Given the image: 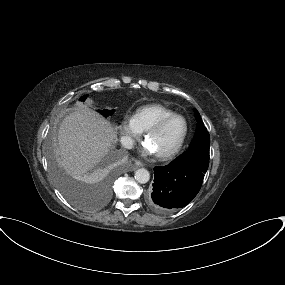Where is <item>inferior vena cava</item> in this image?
Masks as SVG:
<instances>
[{"label": "inferior vena cava", "mask_w": 285, "mask_h": 285, "mask_svg": "<svg viewBox=\"0 0 285 285\" xmlns=\"http://www.w3.org/2000/svg\"><path fill=\"white\" fill-rule=\"evenodd\" d=\"M120 142L122 146L125 147L126 149H132L134 145V140L129 136L121 137Z\"/></svg>", "instance_id": "obj_1"}]
</instances>
